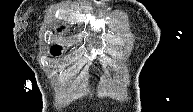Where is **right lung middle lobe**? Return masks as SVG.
Segmentation results:
<instances>
[{"mask_svg": "<svg viewBox=\"0 0 193 112\" xmlns=\"http://www.w3.org/2000/svg\"><path fill=\"white\" fill-rule=\"evenodd\" d=\"M60 49H61V47L60 46H57V47H52L51 48V53L53 54V55H60Z\"/></svg>", "mask_w": 193, "mask_h": 112, "instance_id": "dd1d6c3e", "label": "right lung middle lobe"}]
</instances>
